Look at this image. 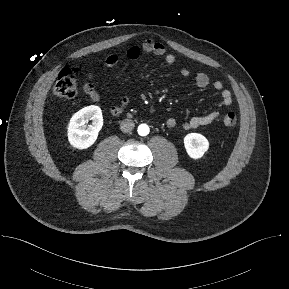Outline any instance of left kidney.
Instances as JSON below:
<instances>
[{"instance_id":"5707ae66","label":"left kidney","mask_w":289,"mask_h":289,"mask_svg":"<svg viewBox=\"0 0 289 289\" xmlns=\"http://www.w3.org/2000/svg\"><path fill=\"white\" fill-rule=\"evenodd\" d=\"M184 146L191 158L199 159L208 150L209 142L202 134L189 133L184 137Z\"/></svg>"}]
</instances>
